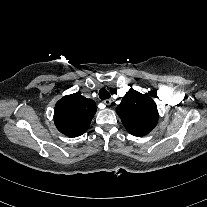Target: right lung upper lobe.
<instances>
[{"mask_svg":"<svg viewBox=\"0 0 207 207\" xmlns=\"http://www.w3.org/2000/svg\"><path fill=\"white\" fill-rule=\"evenodd\" d=\"M96 109L93 100L85 98L78 92L65 96L55 106V125L66 136H80L88 129Z\"/></svg>","mask_w":207,"mask_h":207,"instance_id":"right-lung-upper-lobe-1","label":"right lung upper lobe"}]
</instances>
